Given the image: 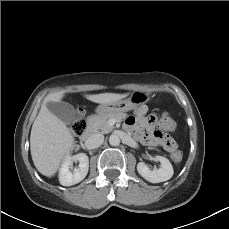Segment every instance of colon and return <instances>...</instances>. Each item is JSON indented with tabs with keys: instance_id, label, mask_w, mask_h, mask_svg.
Masks as SVG:
<instances>
[{
	"instance_id": "5ec220e1",
	"label": "colon",
	"mask_w": 229,
	"mask_h": 229,
	"mask_svg": "<svg viewBox=\"0 0 229 229\" xmlns=\"http://www.w3.org/2000/svg\"><path fill=\"white\" fill-rule=\"evenodd\" d=\"M173 128L172 119L164 117L159 125V130L155 133V137L165 150L171 152L172 159L175 162H180L182 160V154L177 151L175 140L168 134ZM71 130L75 135H81L86 130V123L82 112H78L71 125Z\"/></svg>"
}]
</instances>
